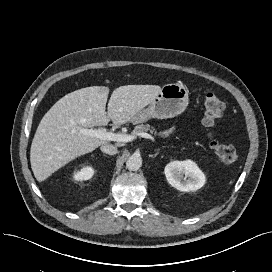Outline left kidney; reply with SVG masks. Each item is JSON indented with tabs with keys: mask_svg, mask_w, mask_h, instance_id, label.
Here are the masks:
<instances>
[{
	"mask_svg": "<svg viewBox=\"0 0 272 272\" xmlns=\"http://www.w3.org/2000/svg\"><path fill=\"white\" fill-rule=\"evenodd\" d=\"M168 183L179 191H197L204 186L206 178L192 160L172 161L165 166Z\"/></svg>",
	"mask_w": 272,
	"mask_h": 272,
	"instance_id": "obj_1",
	"label": "left kidney"
}]
</instances>
